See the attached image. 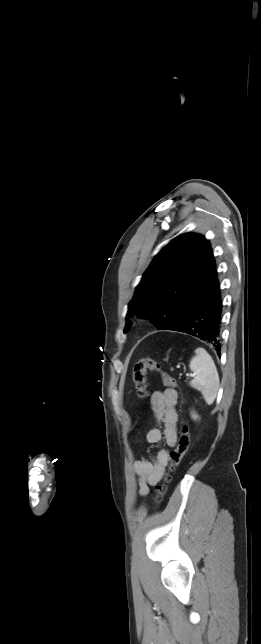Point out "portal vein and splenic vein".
<instances>
[{
    "instance_id": "obj_1",
    "label": "portal vein and splenic vein",
    "mask_w": 261,
    "mask_h": 644,
    "mask_svg": "<svg viewBox=\"0 0 261 644\" xmlns=\"http://www.w3.org/2000/svg\"><path fill=\"white\" fill-rule=\"evenodd\" d=\"M186 376H187V377H194V376H195V374H189V373H188V374H186Z\"/></svg>"
}]
</instances>
